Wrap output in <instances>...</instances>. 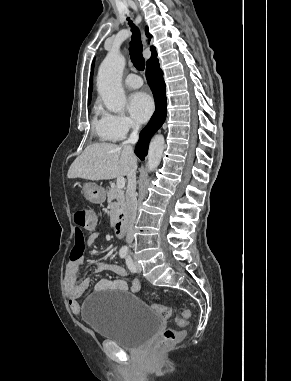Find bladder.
<instances>
[{
    "label": "bladder",
    "mask_w": 291,
    "mask_h": 381,
    "mask_svg": "<svg viewBox=\"0 0 291 381\" xmlns=\"http://www.w3.org/2000/svg\"><path fill=\"white\" fill-rule=\"evenodd\" d=\"M81 318L98 337L127 350L142 348L162 326L154 309L129 292L114 297L93 294L86 299Z\"/></svg>",
    "instance_id": "1"
}]
</instances>
